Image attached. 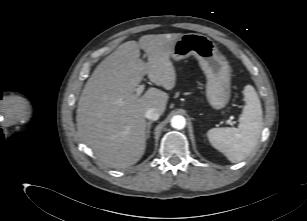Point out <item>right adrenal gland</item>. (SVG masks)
I'll use <instances>...</instances> for the list:
<instances>
[{
    "label": "right adrenal gland",
    "instance_id": "2a0ac1e0",
    "mask_svg": "<svg viewBox=\"0 0 307 221\" xmlns=\"http://www.w3.org/2000/svg\"><path fill=\"white\" fill-rule=\"evenodd\" d=\"M151 124H152V122L147 123L146 139H148L150 137Z\"/></svg>",
    "mask_w": 307,
    "mask_h": 221
}]
</instances>
